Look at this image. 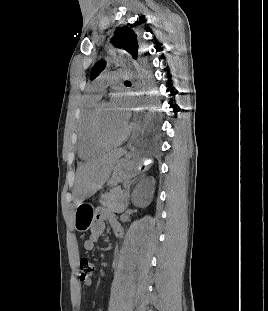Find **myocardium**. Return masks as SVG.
<instances>
[{
  "label": "myocardium",
  "mask_w": 268,
  "mask_h": 311,
  "mask_svg": "<svg viewBox=\"0 0 268 311\" xmlns=\"http://www.w3.org/2000/svg\"><path fill=\"white\" fill-rule=\"evenodd\" d=\"M107 102H100L96 106L90 121V134L93 142L101 148H111L120 145L123 143L130 134L131 128L129 125L126 126L124 133L116 140H107L105 139L100 132V116L103 106Z\"/></svg>",
  "instance_id": "myocardium-1"
}]
</instances>
